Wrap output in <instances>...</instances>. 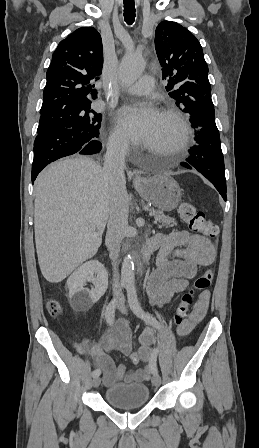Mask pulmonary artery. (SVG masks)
<instances>
[{
    "instance_id": "obj_1",
    "label": "pulmonary artery",
    "mask_w": 259,
    "mask_h": 448,
    "mask_svg": "<svg viewBox=\"0 0 259 448\" xmlns=\"http://www.w3.org/2000/svg\"><path fill=\"white\" fill-rule=\"evenodd\" d=\"M120 70L121 72L128 76L132 81L136 80H147L152 81L153 77L149 75H142L143 66L135 61L131 54L126 55L122 58L120 62ZM121 91L127 94H146L151 91L150 87H134L131 85H125L122 87Z\"/></svg>"
}]
</instances>
